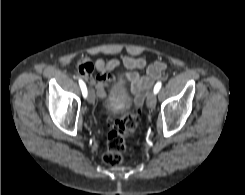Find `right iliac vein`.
Segmentation results:
<instances>
[{"mask_svg": "<svg viewBox=\"0 0 245 195\" xmlns=\"http://www.w3.org/2000/svg\"><path fill=\"white\" fill-rule=\"evenodd\" d=\"M88 102L93 104L95 102V93L92 89L88 91Z\"/></svg>", "mask_w": 245, "mask_h": 195, "instance_id": "63e3f726", "label": "right iliac vein"}]
</instances>
